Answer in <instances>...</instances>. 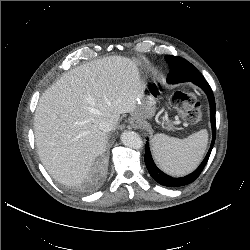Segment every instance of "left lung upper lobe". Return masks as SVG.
I'll use <instances>...</instances> for the list:
<instances>
[{
    "label": "left lung upper lobe",
    "mask_w": 250,
    "mask_h": 250,
    "mask_svg": "<svg viewBox=\"0 0 250 250\" xmlns=\"http://www.w3.org/2000/svg\"><path fill=\"white\" fill-rule=\"evenodd\" d=\"M175 58H176L175 56H171V55H166V56H165V59H166L167 63H168L170 60H173V59H175ZM169 80H170V77H169V74H168V76H167V81L169 82Z\"/></svg>",
    "instance_id": "1"
}]
</instances>
